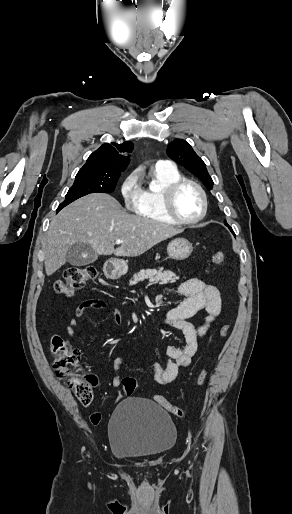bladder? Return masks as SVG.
I'll list each match as a JSON object with an SVG mask.
<instances>
[{
  "label": "bladder",
  "mask_w": 292,
  "mask_h": 514,
  "mask_svg": "<svg viewBox=\"0 0 292 514\" xmlns=\"http://www.w3.org/2000/svg\"><path fill=\"white\" fill-rule=\"evenodd\" d=\"M108 432L111 451L120 459L159 456L173 448L177 440L168 412L144 398L119 402L110 417Z\"/></svg>",
  "instance_id": "bladder-1"
}]
</instances>
